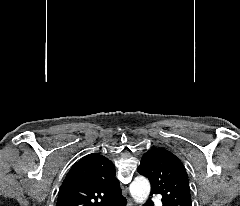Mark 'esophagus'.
<instances>
[{
	"label": "esophagus",
	"mask_w": 240,
	"mask_h": 206,
	"mask_svg": "<svg viewBox=\"0 0 240 206\" xmlns=\"http://www.w3.org/2000/svg\"><path fill=\"white\" fill-rule=\"evenodd\" d=\"M128 206H134L130 200L128 201Z\"/></svg>",
	"instance_id": "esophagus-1"
}]
</instances>
